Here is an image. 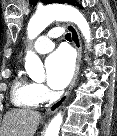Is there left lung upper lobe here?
Wrapping results in <instances>:
<instances>
[{
	"label": "left lung upper lobe",
	"mask_w": 117,
	"mask_h": 136,
	"mask_svg": "<svg viewBox=\"0 0 117 136\" xmlns=\"http://www.w3.org/2000/svg\"><path fill=\"white\" fill-rule=\"evenodd\" d=\"M37 0H29L30 3H33L34 5L36 4ZM43 3L45 4H51V3H56L57 1L54 0H41ZM75 0H59V3H68V4H72L75 5ZM76 5H78V3H76ZM80 7V5H78Z\"/></svg>",
	"instance_id": "obj_1"
}]
</instances>
